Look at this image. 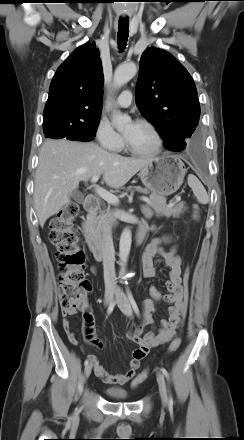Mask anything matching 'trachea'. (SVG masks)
Listing matches in <instances>:
<instances>
[{"label":"trachea","instance_id":"3493384b","mask_svg":"<svg viewBox=\"0 0 244 440\" xmlns=\"http://www.w3.org/2000/svg\"><path fill=\"white\" fill-rule=\"evenodd\" d=\"M129 36V21L128 19H120L118 25V46L120 50H124Z\"/></svg>","mask_w":244,"mask_h":440}]
</instances>
